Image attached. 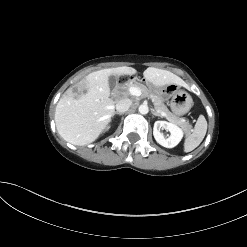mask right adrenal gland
<instances>
[{"label": "right adrenal gland", "instance_id": "obj_1", "mask_svg": "<svg viewBox=\"0 0 247 247\" xmlns=\"http://www.w3.org/2000/svg\"><path fill=\"white\" fill-rule=\"evenodd\" d=\"M115 114L122 115V113H119V112H114L113 115Z\"/></svg>", "mask_w": 247, "mask_h": 247}]
</instances>
